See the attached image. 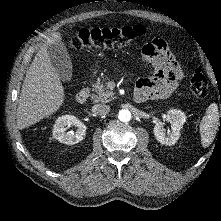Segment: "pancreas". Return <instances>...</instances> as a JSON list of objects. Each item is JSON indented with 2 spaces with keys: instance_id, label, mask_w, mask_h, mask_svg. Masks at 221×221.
Returning a JSON list of instances; mask_svg holds the SVG:
<instances>
[{
  "instance_id": "1",
  "label": "pancreas",
  "mask_w": 221,
  "mask_h": 221,
  "mask_svg": "<svg viewBox=\"0 0 221 221\" xmlns=\"http://www.w3.org/2000/svg\"><path fill=\"white\" fill-rule=\"evenodd\" d=\"M107 78L96 81L92 86L91 99L94 102L108 103L114 99V93L107 88Z\"/></svg>"
}]
</instances>
